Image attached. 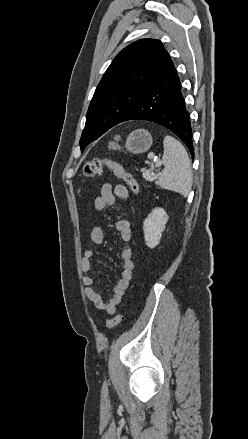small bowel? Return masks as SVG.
Returning <instances> with one entry per match:
<instances>
[{
	"mask_svg": "<svg viewBox=\"0 0 248 439\" xmlns=\"http://www.w3.org/2000/svg\"><path fill=\"white\" fill-rule=\"evenodd\" d=\"M128 198V190L124 185L113 186L109 183L101 187L100 195L94 200V208L97 211H102L108 206L116 204L117 200H126ZM120 238L124 242H129L132 238L131 224L126 219H120L115 224ZM90 239L94 244H101L104 241V231L101 227L96 226L91 230ZM94 250L88 248L84 251V256L81 260V270L85 275L83 276V284L85 286L84 292L87 300L93 304L97 309L104 311L107 314H114L117 307L120 305L126 290L129 287L134 270V261L132 259V251L130 248H123L120 256L123 261V270L120 279L116 282L113 288V295L108 300H104L101 292L96 290L93 285L95 283L94 277L89 274L92 269V258Z\"/></svg>",
	"mask_w": 248,
	"mask_h": 439,
	"instance_id": "obj_1",
	"label": "small bowel"
}]
</instances>
